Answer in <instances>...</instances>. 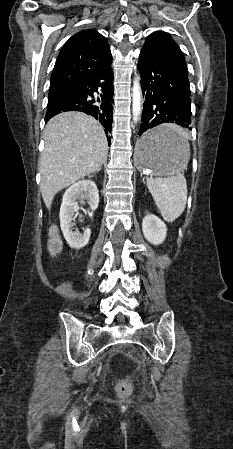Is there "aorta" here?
<instances>
[{
  "instance_id": "1",
  "label": "aorta",
  "mask_w": 233,
  "mask_h": 449,
  "mask_svg": "<svg viewBox=\"0 0 233 449\" xmlns=\"http://www.w3.org/2000/svg\"><path fill=\"white\" fill-rule=\"evenodd\" d=\"M132 113L133 121L137 123L141 115V87H140V77L136 76L132 89Z\"/></svg>"
}]
</instances>
